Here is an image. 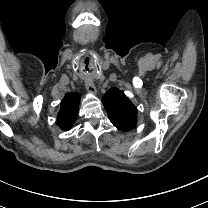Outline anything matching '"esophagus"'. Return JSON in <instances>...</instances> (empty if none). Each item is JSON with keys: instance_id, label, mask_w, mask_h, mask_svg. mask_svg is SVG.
Returning <instances> with one entry per match:
<instances>
[{"instance_id": "1", "label": "esophagus", "mask_w": 208, "mask_h": 208, "mask_svg": "<svg viewBox=\"0 0 208 208\" xmlns=\"http://www.w3.org/2000/svg\"><path fill=\"white\" fill-rule=\"evenodd\" d=\"M85 88H86L87 92L90 94H96V92H97L95 85L91 81L85 83Z\"/></svg>"}]
</instances>
